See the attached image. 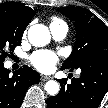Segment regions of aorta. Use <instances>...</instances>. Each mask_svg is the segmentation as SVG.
<instances>
[{"label":"aorta","instance_id":"aorta-1","mask_svg":"<svg viewBox=\"0 0 108 108\" xmlns=\"http://www.w3.org/2000/svg\"><path fill=\"white\" fill-rule=\"evenodd\" d=\"M49 29L43 24H35L28 30V40L35 47L46 46L50 41ZM45 90L49 95H56L60 86L57 81L50 80L45 84Z\"/></svg>","mask_w":108,"mask_h":108}]
</instances>
